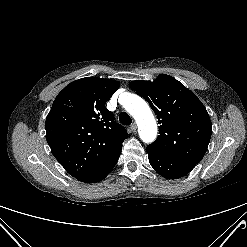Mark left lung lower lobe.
I'll return each mask as SVG.
<instances>
[{
	"instance_id": "obj_1",
	"label": "left lung lower lobe",
	"mask_w": 247,
	"mask_h": 247,
	"mask_svg": "<svg viewBox=\"0 0 247 247\" xmlns=\"http://www.w3.org/2000/svg\"><path fill=\"white\" fill-rule=\"evenodd\" d=\"M149 162L154 170L167 179H178L188 174L194 167L195 163L180 161L168 157L150 147L146 148Z\"/></svg>"
}]
</instances>
